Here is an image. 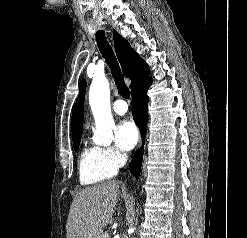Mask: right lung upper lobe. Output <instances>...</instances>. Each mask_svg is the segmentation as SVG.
Here are the masks:
<instances>
[{
  "instance_id": "1",
  "label": "right lung upper lobe",
  "mask_w": 247,
  "mask_h": 238,
  "mask_svg": "<svg viewBox=\"0 0 247 238\" xmlns=\"http://www.w3.org/2000/svg\"><path fill=\"white\" fill-rule=\"evenodd\" d=\"M114 45L116 55L123 69L124 75L131 79V91L149 79V67L146 62L131 48L130 44L114 31ZM86 81L83 80L80 86L79 97L72 116L73 143L81 140L83 116H84V93Z\"/></svg>"
}]
</instances>
